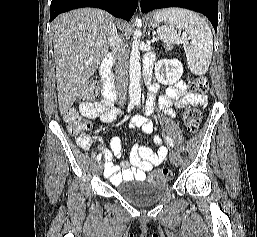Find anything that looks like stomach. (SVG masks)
<instances>
[{
	"label": "stomach",
	"mask_w": 257,
	"mask_h": 237,
	"mask_svg": "<svg viewBox=\"0 0 257 237\" xmlns=\"http://www.w3.org/2000/svg\"><path fill=\"white\" fill-rule=\"evenodd\" d=\"M150 24L152 27H157L158 26V22L156 20H151Z\"/></svg>",
	"instance_id": "1"
}]
</instances>
